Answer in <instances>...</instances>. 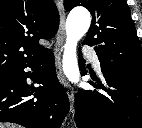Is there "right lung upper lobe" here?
Returning a JSON list of instances; mask_svg holds the SVG:
<instances>
[{
    "mask_svg": "<svg viewBox=\"0 0 142 128\" xmlns=\"http://www.w3.org/2000/svg\"><path fill=\"white\" fill-rule=\"evenodd\" d=\"M59 14L52 0H0V79L38 59L39 39L57 32Z\"/></svg>",
    "mask_w": 142,
    "mask_h": 128,
    "instance_id": "obj_1",
    "label": "right lung upper lobe"
}]
</instances>
